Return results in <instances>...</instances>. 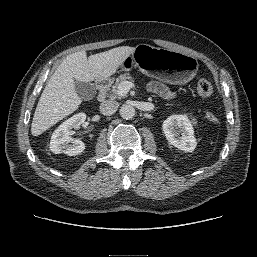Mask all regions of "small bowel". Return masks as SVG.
I'll list each match as a JSON object with an SVG mask.
<instances>
[{
  "label": "small bowel",
  "mask_w": 257,
  "mask_h": 257,
  "mask_svg": "<svg viewBox=\"0 0 257 257\" xmlns=\"http://www.w3.org/2000/svg\"><path fill=\"white\" fill-rule=\"evenodd\" d=\"M149 88L163 97L169 98L172 96V92L160 82H151Z\"/></svg>",
  "instance_id": "obj_1"
}]
</instances>
